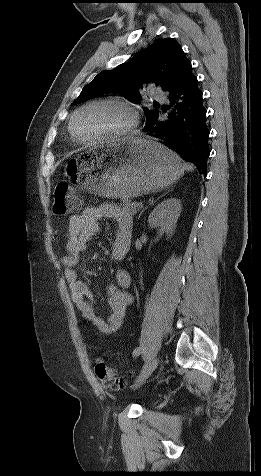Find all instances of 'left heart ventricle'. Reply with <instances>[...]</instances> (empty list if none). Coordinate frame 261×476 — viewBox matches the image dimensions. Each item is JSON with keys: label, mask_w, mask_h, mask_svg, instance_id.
<instances>
[{"label": "left heart ventricle", "mask_w": 261, "mask_h": 476, "mask_svg": "<svg viewBox=\"0 0 261 476\" xmlns=\"http://www.w3.org/2000/svg\"><path fill=\"white\" fill-rule=\"evenodd\" d=\"M127 121L128 114L123 109L101 104L81 112L76 118L74 130L79 139L91 140L123 127Z\"/></svg>", "instance_id": "left-heart-ventricle-1"}]
</instances>
